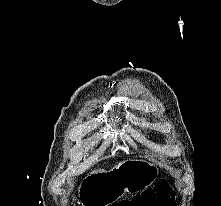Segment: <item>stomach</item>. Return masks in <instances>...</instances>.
<instances>
[{
  "label": "stomach",
  "instance_id": "0dacf381",
  "mask_svg": "<svg viewBox=\"0 0 221 206\" xmlns=\"http://www.w3.org/2000/svg\"><path fill=\"white\" fill-rule=\"evenodd\" d=\"M157 174L158 168L149 161H123L108 172L90 174L84 180L80 204L109 206L126 192L135 193L146 189L154 182Z\"/></svg>",
  "mask_w": 221,
  "mask_h": 206
}]
</instances>
